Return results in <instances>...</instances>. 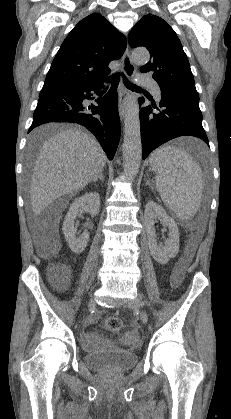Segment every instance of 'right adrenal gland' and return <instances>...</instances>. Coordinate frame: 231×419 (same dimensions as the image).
<instances>
[{"label": "right adrenal gland", "mask_w": 231, "mask_h": 419, "mask_svg": "<svg viewBox=\"0 0 231 419\" xmlns=\"http://www.w3.org/2000/svg\"><path fill=\"white\" fill-rule=\"evenodd\" d=\"M104 181L103 171L93 180V183H96L98 180Z\"/></svg>", "instance_id": "1"}]
</instances>
